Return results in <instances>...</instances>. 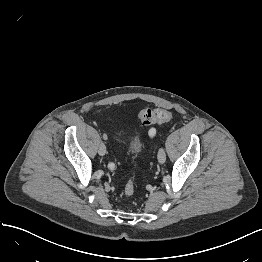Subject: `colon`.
I'll return each mask as SVG.
<instances>
[{
  "instance_id": "colon-1",
  "label": "colon",
  "mask_w": 262,
  "mask_h": 262,
  "mask_svg": "<svg viewBox=\"0 0 262 262\" xmlns=\"http://www.w3.org/2000/svg\"><path fill=\"white\" fill-rule=\"evenodd\" d=\"M138 117L143 124L149 125L170 120L172 113L164 108L143 109L138 113ZM116 140L121 141V137L119 135L116 136ZM135 192L136 186L134 182L132 180L128 181L124 188L125 195L131 197Z\"/></svg>"
}]
</instances>
